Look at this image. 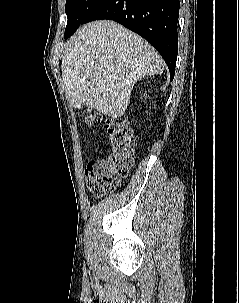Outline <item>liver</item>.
<instances>
[{"mask_svg": "<svg viewBox=\"0 0 239 303\" xmlns=\"http://www.w3.org/2000/svg\"><path fill=\"white\" fill-rule=\"evenodd\" d=\"M61 69L66 97L73 107L86 104L119 118L136 81L162 74L164 63L142 37L103 20L78 29L67 43Z\"/></svg>", "mask_w": 239, "mask_h": 303, "instance_id": "1", "label": "liver"}]
</instances>
